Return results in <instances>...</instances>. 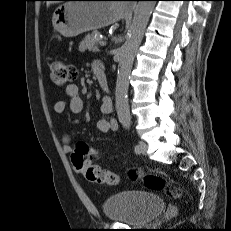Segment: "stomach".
Returning a JSON list of instances; mask_svg holds the SVG:
<instances>
[{
	"label": "stomach",
	"mask_w": 231,
	"mask_h": 231,
	"mask_svg": "<svg viewBox=\"0 0 231 231\" xmlns=\"http://www.w3.org/2000/svg\"><path fill=\"white\" fill-rule=\"evenodd\" d=\"M124 16L119 2L71 0L55 9L52 24L64 37H75L111 25Z\"/></svg>",
	"instance_id": "0dacf381"
}]
</instances>
